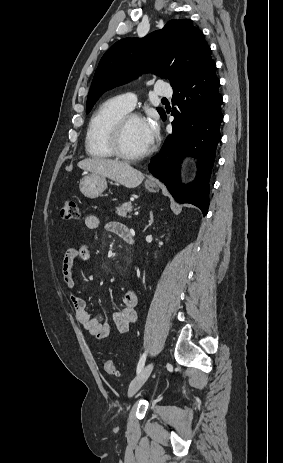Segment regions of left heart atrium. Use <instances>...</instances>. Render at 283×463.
<instances>
[{"mask_svg":"<svg viewBox=\"0 0 283 463\" xmlns=\"http://www.w3.org/2000/svg\"><path fill=\"white\" fill-rule=\"evenodd\" d=\"M144 122H145V130L147 133V140H148L149 145L151 146L158 137V133H159L158 126L156 122L153 120H147Z\"/></svg>","mask_w":283,"mask_h":463,"instance_id":"left-heart-atrium-1","label":"left heart atrium"}]
</instances>
